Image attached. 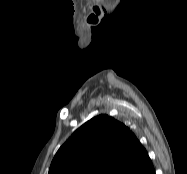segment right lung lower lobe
<instances>
[{"instance_id":"98d812e1","label":"right lung lower lobe","mask_w":187,"mask_h":174,"mask_svg":"<svg viewBox=\"0 0 187 174\" xmlns=\"http://www.w3.org/2000/svg\"><path fill=\"white\" fill-rule=\"evenodd\" d=\"M151 174H155V172L153 171V172H151Z\"/></svg>"}]
</instances>
